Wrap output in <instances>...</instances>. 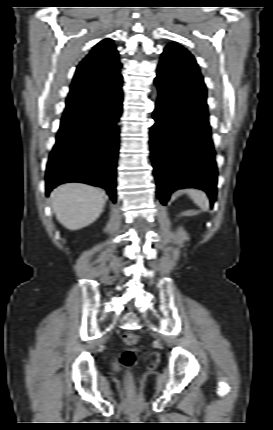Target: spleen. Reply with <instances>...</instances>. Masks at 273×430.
I'll return each instance as SVG.
<instances>
[{
    "label": "spleen",
    "mask_w": 273,
    "mask_h": 430,
    "mask_svg": "<svg viewBox=\"0 0 273 430\" xmlns=\"http://www.w3.org/2000/svg\"><path fill=\"white\" fill-rule=\"evenodd\" d=\"M190 198L197 204L202 210L207 211L209 209L208 199L204 192L190 189L187 190Z\"/></svg>",
    "instance_id": "obj_1"
}]
</instances>
